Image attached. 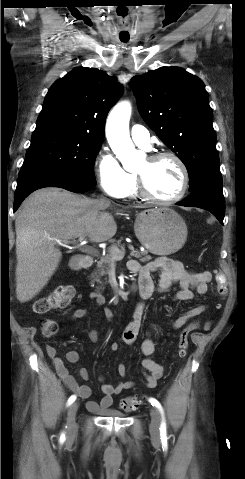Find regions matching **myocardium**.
<instances>
[{
    "label": "myocardium",
    "instance_id": "f54148a6",
    "mask_svg": "<svg viewBox=\"0 0 245 479\" xmlns=\"http://www.w3.org/2000/svg\"><path fill=\"white\" fill-rule=\"evenodd\" d=\"M164 158L172 159L173 161L176 162V164L180 168L181 186H180V189L175 196H173L169 199H160V198L155 197L149 191L144 175L142 173H139V172L135 173L136 174V181H137L138 195L141 198H143L144 200H146L150 203H153V204H157V205H171V204H174V203L178 202L179 200H181L184 197V195L186 194L187 189L189 187V179H190L189 171H188V168H187L185 162L182 160V158L179 155H177L176 153L171 152V151H159V152L152 153L147 157L148 161L151 162V163L156 162L160 159H164Z\"/></svg>",
    "mask_w": 245,
    "mask_h": 479
}]
</instances>
